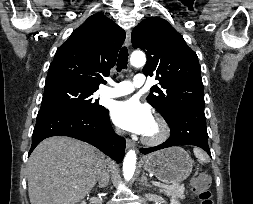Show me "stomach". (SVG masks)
<instances>
[{
    "mask_svg": "<svg viewBox=\"0 0 253 204\" xmlns=\"http://www.w3.org/2000/svg\"><path fill=\"white\" fill-rule=\"evenodd\" d=\"M143 168L166 184H177L189 177L193 161L181 147L164 149L142 158Z\"/></svg>",
    "mask_w": 253,
    "mask_h": 204,
    "instance_id": "1",
    "label": "stomach"
}]
</instances>
